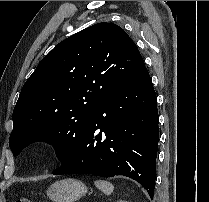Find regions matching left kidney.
Returning <instances> with one entry per match:
<instances>
[{"instance_id":"1","label":"left kidney","mask_w":209,"mask_h":202,"mask_svg":"<svg viewBox=\"0 0 209 202\" xmlns=\"http://www.w3.org/2000/svg\"><path fill=\"white\" fill-rule=\"evenodd\" d=\"M118 202H126V201H118Z\"/></svg>"}]
</instances>
